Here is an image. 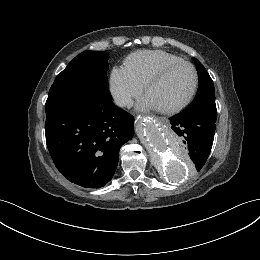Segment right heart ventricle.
Masks as SVG:
<instances>
[{"mask_svg": "<svg viewBox=\"0 0 260 260\" xmlns=\"http://www.w3.org/2000/svg\"><path fill=\"white\" fill-rule=\"evenodd\" d=\"M181 60L180 57L161 50H141L125 60V69L139 83L145 84L148 77L161 66Z\"/></svg>", "mask_w": 260, "mask_h": 260, "instance_id": "1", "label": "right heart ventricle"}]
</instances>
